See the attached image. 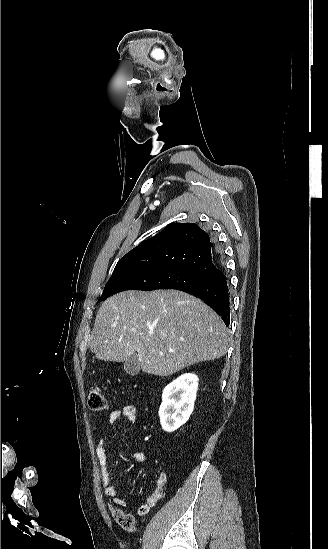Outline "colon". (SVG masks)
Here are the masks:
<instances>
[{"mask_svg":"<svg viewBox=\"0 0 328 549\" xmlns=\"http://www.w3.org/2000/svg\"><path fill=\"white\" fill-rule=\"evenodd\" d=\"M88 406L93 411H102L106 408L107 402L102 390L99 387L91 389L88 395ZM113 519L124 530L133 532L137 528L136 520L132 514L122 511L115 505L110 506Z\"/></svg>","mask_w":328,"mask_h":549,"instance_id":"5ec220e1","label":"colon"}]
</instances>
